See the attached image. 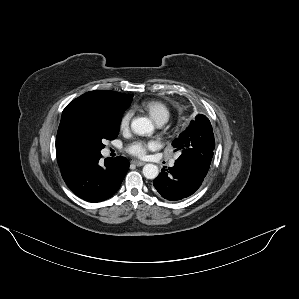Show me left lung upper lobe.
<instances>
[{
  "label": "left lung upper lobe",
  "mask_w": 299,
  "mask_h": 299,
  "mask_svg": "<svg viewBox=\"0 0 299 299\" xmlns=\"http://www.w3.org/2000/svg\"><path fill=\"white\" fill-rule=\"evenodd\" d=\"M172 145L175 148L174 151L179 152V158L197 162L209 168L215 148L213 128L209 119L205 115H197Z\"/></svg>",
  "instance_id": "5c2ea615"
}]
</instances>
